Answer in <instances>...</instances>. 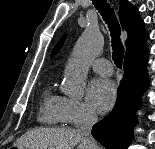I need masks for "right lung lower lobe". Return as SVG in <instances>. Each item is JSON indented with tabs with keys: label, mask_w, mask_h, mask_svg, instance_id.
<instances>
[{
	"label": "right lung lower lobe",
	"mask_w": 155,
	"mask_h": 149,
	"mask_svg": "<svg viewBox=\"0 0 155 149\" xmlns=\"http://www.w3.org/2000/svg\"><path fill=\"white\" fill-rule=\"evenodd\" d=\"M124 77L118 88L116 104L109 115L96 123L92 136L107 149H127L133 139L134 111L148 88L147 56L125 60Z\"/></svg>",
	"instance_id": "obj_1"
}]
</instances>
